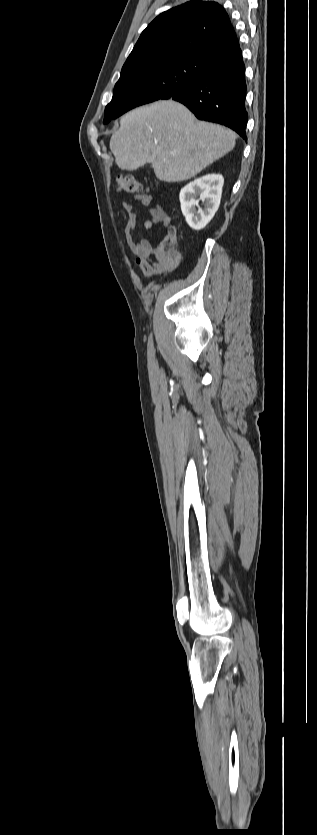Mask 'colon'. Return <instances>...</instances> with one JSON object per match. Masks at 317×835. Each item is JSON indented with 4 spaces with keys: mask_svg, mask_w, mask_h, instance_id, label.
<instances>
[{
    "mask_svg": "<svg viewBox=\"0 0 317 835\" xmlns=\"http://www.w3.org/2000/svg\"><path fill=\"white\" fill-rule=\"evenodd\" d=\"M118 191L129 194L141 193L143 185L133 175H121L117 178ZM178 239L175 231L170 229L168 235L160 244V251L170 259L178 258Z\"/></svg>",
    "mask_w": 317,
    "mask_h": 835,
    "instance_id": "colon-1",
    "label": "colon"
}]
</instances>
